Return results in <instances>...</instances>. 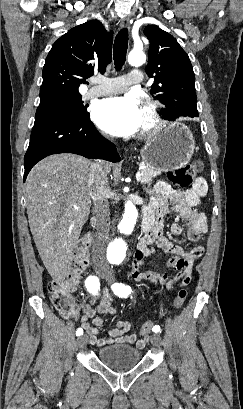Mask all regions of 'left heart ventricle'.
Masks as SVG:
<instances>
[{"mask_svg": "<svg viewBox=\"0 0 243 409\" xmlns=\"http://www.w3.org/2000/svg\"><path fill=\"white\" fill-rule=\"evenodd\" d=\"M142 109H143V123H142V128H143L149 124L150 120H149V116L145 108L143 107Z\"/></svg>", "mask_w": 243, "mask_h": 409, "instance_id": "b2bd125f", "label": "left heart ventricle"}]
</instances>
